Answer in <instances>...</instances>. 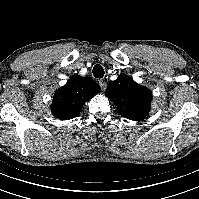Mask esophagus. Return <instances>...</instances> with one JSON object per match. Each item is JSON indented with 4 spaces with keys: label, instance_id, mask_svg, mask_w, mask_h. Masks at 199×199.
I'll return each instance as SVG.
<instances>
[{
    "label": "esophagus",
    "instance_id": "34e87169",
    "mask_svg": "<svg viewBox=\"0 0 199 199\" xmlns=\"http://www.w3.org/2000/svg\"><path fill=\"white\" fill-rule=\"evenodd\" d=\"M99 85H100L102 91L106 90L107 83L105 82V80H103V79L99 80Z\"/></svg>",
    "mask_w": 199,
    "mask_h": 199
}]
</instances>
